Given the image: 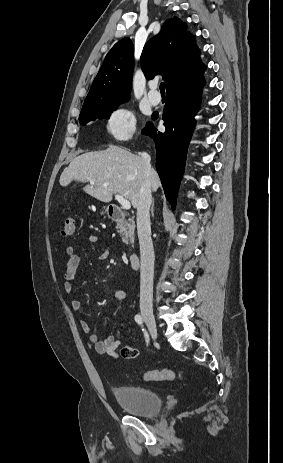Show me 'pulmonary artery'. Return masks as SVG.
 I'll list each match as a JSON object with an SVG mask.
<instances>
[{
	"instance_id": "1",
	"label": "pulmonary artery",
	"mask_w": 283,
	"mask_h": 463,
	"mask_svg": "<svg viewBox=\"0 0 283 463\" xmlns=\"http://www.w3.org/2000/svg\"><path fill=\"white\" fill-rule=\"evenodd\" d=\"M157 87V83H152L150 85V91L147 95L148 101L154 106L158 105L161 102V96L156 91Z\"/></svg>"
}]
</instances>
